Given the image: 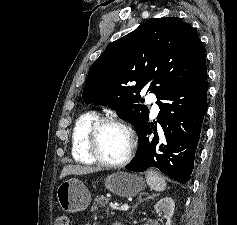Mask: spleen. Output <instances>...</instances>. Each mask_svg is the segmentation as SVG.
I'll return each instance as SVG.
<instances>
[{"label":"spleen","instance_id":"obj_1","mask_svg":"<svg viewBox=\"0 0 237 225\" xmlns=\"http://www.w3.org/2000/svg\"><path fill=\"white\" fill-rule=\"evenodd\" d=\"M146 182L151 189L156 191H163L166 188L164 178L153 170L146 173Z\"/></svg>","mask_w":237,"mask_h":225}]
</instances>
